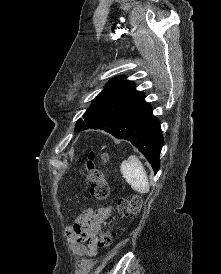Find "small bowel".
<instances>
[{
  "label": "small bowel",
  "mask_w": 221,
  "mask_h": 274,
  "mask_svg": "<svg viewBox=\"0 0 221 274\" xmlns=\"http://www.w3.org/2000/svg\"><path fill=\"white\" fill-rule=\"evenodd\" d=\"M111 211V207L97 210L87 209L74 220L67 232L75 254L79 256H94L96 254L98 234Z\"/></svg>",
  "instance_id": "c3829d8e"
}]
</instances>
